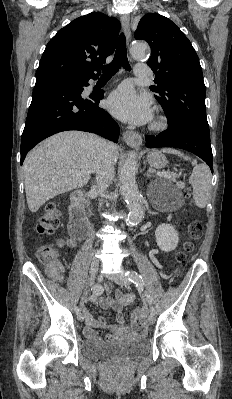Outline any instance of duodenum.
Masks as SVG:
<instances>
[{
	"label": "duodenum",
	"mask_w": 232,
	"mask_h": 399,
	"mask_svg": "<svg viewBox=\"0 0 232 399\" xmlns=\"http://www.w3.org/2000/svg\"><path fill=\"white\" fill-rule=\"evenodd\" d=\"M69 235L76 239H84L90 231V222L84 212V199L81 192H74L69 207Z\"/></svg>",
	"instance_id": "obj_1"
}]
</instances>
